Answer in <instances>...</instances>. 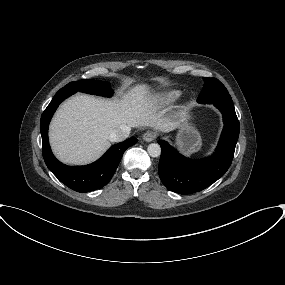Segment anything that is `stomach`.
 Here are the masks:
<instances>
[{"label": "stomach", "instance_id": "stomach-1", "mask_svg": "<svg viewBox=\"0 0 285 285\" xmlns=\"http://www.w3.org/2000/svg\"><path fill=\"white\" fill-rule=\"evenodd\" d=\"M191 115L189 112L183 114L179 132L176 136V144L179 149L186 155H191L200 150L202 140L195 126L190 122Z\"/></svg>", "mask_w": 285, "mask_h": 285}]
</instances>
